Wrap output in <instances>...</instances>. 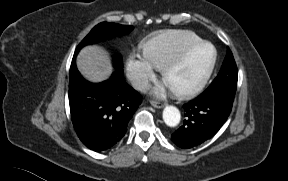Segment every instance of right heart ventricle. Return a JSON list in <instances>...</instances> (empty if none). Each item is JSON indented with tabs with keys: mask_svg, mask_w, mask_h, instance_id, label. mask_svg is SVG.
<instances>
[{
	"mask_svg": "<svg viewBox=\"0 0 288 181\" xmlns=\"http://www.w3.org/2000/svg\"><path fill=\"white\" fill-rule=\"evenodd\" d=\"M203 39L193 31L170 30L151 36L143 45V53L158 69L172 60L185 48Z\"/></svg>",
	"mask_w": 288,
	"mask_h": 181,
	"instance_id": "1",
	"label": "right heart ventricle"
}]
</instances>
